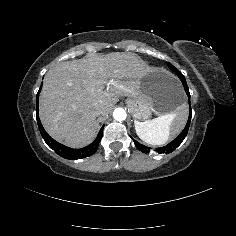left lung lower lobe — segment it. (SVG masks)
<instances>
[{
  "instance_id": "0a47b994",
  "label": "left lung lower lobe",
  "mask_w": 236,
  "mask_h": 236,
  "mask_svg": "<svg viewBox=\"0 0 236 236\" xmlns=\"http://www.w3.org/2000/svg\"><path fill=\"white\" fill-rule=\"evenodd\" d=\"M168 67L173 72H175L177 74V76L179 77V79L181 80V82H182V84L184 86L185 92H186V94L188 96V101H189V105H190V93H189V89H188V86H187L185 78L183 77L181 72L176 67H174L171 63H168ZM190 121H191V105H190L189 118H188V121H187V124H186L184 130L172 142H170L168 145H166L164 147L157 148L156 151L158 153H166V154L173 152L182 143V141L186 137L188 129H189V126H190ZM133 141L135 143V146L140 151H142L143 153L147 154V153L150 152V149H151L150 147L144 146V145L140 144L138 141H136L134 139H133Z\"/></svg>"
}]
</instances>
